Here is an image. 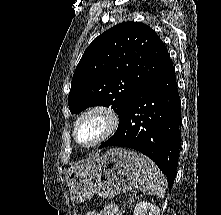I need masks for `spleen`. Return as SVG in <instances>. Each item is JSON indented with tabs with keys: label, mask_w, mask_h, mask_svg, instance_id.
I'll use <instances>...</instances> for the list:
<instances>
[{
	"label": "spleen",
	"mask_w": 221,
	"mask_h": 215,
	"mask_svg": "<svg viewBox=\"0 0 221 215\" xmlns=\"http://www.w3.org/2000/svg\"><path fill=\"white\" fill-rule=\"evenodd\" d=\"M141 161V191L150 194L157 195L160 198L164 197L166 190V178L156 166V164L147 158L146 156L140 154Z\"/></svg>",
	"instance_id": "spleen-1"
}]
</instances>
